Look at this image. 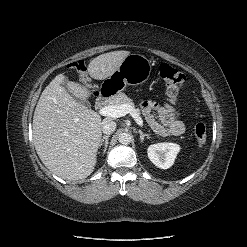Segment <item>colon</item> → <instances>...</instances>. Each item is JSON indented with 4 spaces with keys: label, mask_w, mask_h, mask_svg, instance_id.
<instances>
[{
    "label": "colon",
    "mask_w": 247,
    "mask_h": 247,
    "mask_svg": "<svg viewBox=\"0 0 247 247\" xmlns=\"http://www.w3.org/2000/svg\"><path fill=\"white\" fill-rule=\"evenodd\" d=\"M80 73L83 80L86 81V64L80 60L70 65ZM159 76L163 80L166 86V94L170 101L175 102L179 96V93L184 85L185 76L176 68L169 64H162L159 68ZM194 137L199 147H204L207 143V127L205 123L198 122L194 127Z\"/></svg>",
    "instance_id": "obj_1"
}]
</instances>
